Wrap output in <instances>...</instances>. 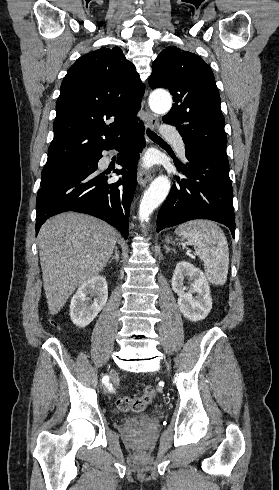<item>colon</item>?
<instances>
[{
    "label": "colon",
    "instance_id": "5ec220e1",
    "mask_svg": "<svg viewBox=\"0 0 279 490\" xmlns=\"http://www.w3.org/2000/svg\"><path fill=\"white\" fill-rule=\"evenodd\" d=\"M155 397V390L147 388L143 391L142 396L131 398L128 396L118 400L117 407L122 412L134 411L141 412L148 407Z\"/></svg>",
    "mask_w": 279,
    "mask_h": 490
}]
</instances>
